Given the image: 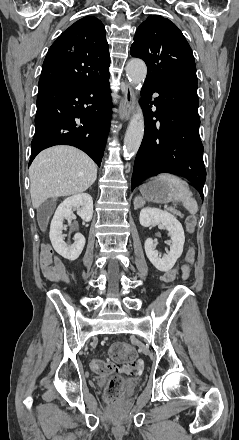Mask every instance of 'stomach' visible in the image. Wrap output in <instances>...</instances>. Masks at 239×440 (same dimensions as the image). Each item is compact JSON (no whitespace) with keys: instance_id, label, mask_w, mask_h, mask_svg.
<instances>
[{"instance_id":"0dacf381","label":"stomach","mask_w":239,"mask_h":440,"mask_svg":"<svg viewBox=\"0 0 239 440\" xmlns=\"http://www.w3.org/2000/svg\"><path fill=\"white\" fill-rule=\"evenodd\" d=\"M140 192L144 200L148 202H156V204H168L173 202V194L175 188H171L166 182H161L158 178H153L151 182L140 186Z\"/></svg>"}]
</instances>
